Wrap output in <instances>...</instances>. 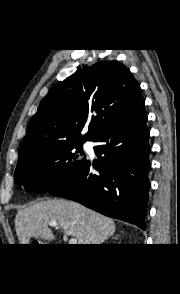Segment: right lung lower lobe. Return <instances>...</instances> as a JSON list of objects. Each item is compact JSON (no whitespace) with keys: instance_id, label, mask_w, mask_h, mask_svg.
Instances as JSON below:
<instances>
[{"instance_id":"obj_1","label":"right lung lower lobe","mask_w":180,"mask_h":294,"mask_svg":"<svg viewBox=\"0 0 180 294\" xmlns=\"http://www.w3.org/2000/svg\"><path fill=\"white\" fill-rule=\"evenodd\" d=\"M144 100L102 130L93 142L99 164L87 160L66 183L49 191L145 230L150 183L149 131ZM102 155V156H101ZM95 168L98 174L91 170Z\"/></svg>"}]
</instances>
